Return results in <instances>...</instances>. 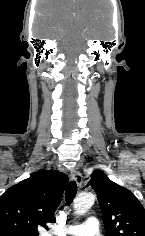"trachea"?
<instances>
[{
  "instance_id": "3493384b",
  "label": "trachea",
  "mask_w": 145,
  "mask_h": 236,
  "mask_svg": "<svg viewBox=\"0 0 145 236\" xmlns=\"http://www.w3.org/2000/svg\"><path fill=\"white\" fill-rule=\"evenodd\" d=\"M77 193V184L75 181H70L65 192V200L67 205H70Z\"/></svg>"
}]
</instances>
